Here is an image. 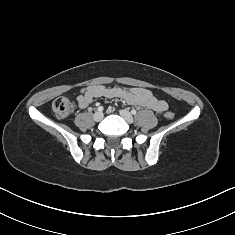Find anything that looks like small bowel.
Segmentation results:
<instances>
[{
    "label": "small bowel",
    "mask_w": 235,
    "mask_h": 235,
    "mask_svg": "<svg viewBox=\"0 0 235 235\" xmlns=\"http://www.w3.org/2000/svg\"><path fill=\"white\" fill-rule=\"evenodd\" d=\"M96 98L121 99L130 105L151 109L156 113H164L168 109L166 101L157 98L145 88L106 87L91 85L81 90L77 96L80 108H86Z\"/></svg>",
    "instance_id": "obj_1"
}]
</instances>
